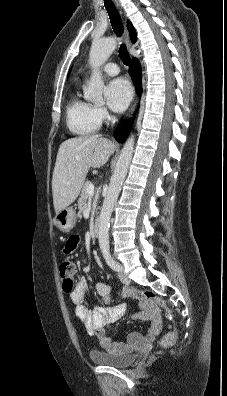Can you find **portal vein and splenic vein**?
<instances>
[{
  "instance_id": "portal-vein-and-splenic-vein-1",
  "label": "portal vein and splenic vein",
  "mask_w": 227,
  "mask_h": 396,
  "mask_svg": "<svg viewBox=\"0 0 227 396\" xmlns=\"http://www.w3.org/2000/svg\"><path fill=\"white\" fill-rule=\"evenodd\" d=\"M87 193H88L90 196H93V195H94V185H90V186L87 188Z\"/></svg>"
}]
</instances>
